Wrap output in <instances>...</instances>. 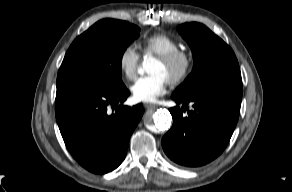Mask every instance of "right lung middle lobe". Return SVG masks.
Masks as SVG:
<instances>
[{
  "mask_svg": "<svg viewBox=\"0 0 292 192\" xmlns=\"http://www.w3.org/2000/svg\"><path fill=\"white\" fill-rule=\"evenodd\" d=\"M138 31L139 27L126 21H98L71 44L59 69L57 82L84 81L113 91L123 88L122 55L138 36Z\"/></svg>",
  "mask_w": 292,
  "mask_h": 192,
  "instance_id": "1",
  "label": "right lung middle lobe"
}]
</instances>
